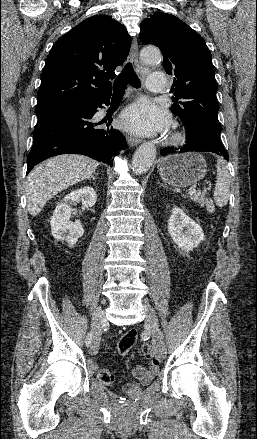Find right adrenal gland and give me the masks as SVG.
<instances>
[{"instance_id":"right-adrenal-gland-1","label":"right adrenal gland","mask_w":257,"mask_h":439,"mask_svg":"<svg viewBox=\"0 0 257 439\" xmlns=\"http://www.w3.org/2000/svg\"><path fill=\"white\" fill-rule=\"evenodd\" d=\"M98 174L96 173V176H97ZM89 180H96V177L93 175V176H91V178H89Z\"/></svg>"}]
</instances>
